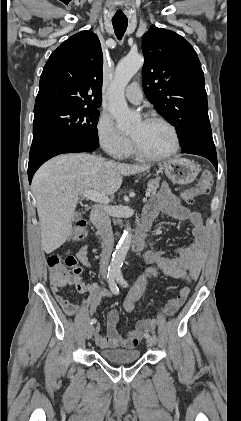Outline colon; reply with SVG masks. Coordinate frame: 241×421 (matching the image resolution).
Instances as JSON below:
<instances>
[{
  "instance_id": "5ec220e1",
  "label": "colon",
  "mask_w": 241,
  "mask_h": 421,
  "mask_svg": "<svg viewBox=\"0 0 241 421\" xmlns=\"http://www.w3.org/2000/svg\"><path fill=\"white\" fill-rule=\"evenodd\" d=\"M213 176L209 170H204L195 186L185 190L181 194V198L186 203H193L198 196L207 194L212 186ZM86 235V222H77L70 235L72 241H80ZM52 284H63L72 281L75 277L82 273L81 267L78 265L77 259L73 255L62 256L60 254H52L47 259ZM160 267L152 264L146 268L144 273L139 277L131 291L128 293L123 307L127 312L134 310L136 303L143 296L151 283L159 276Z\"/></svg>"
}]
</instances>
